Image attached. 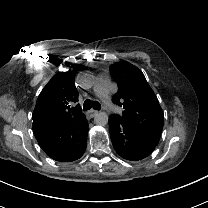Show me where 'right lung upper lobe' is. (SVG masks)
<instances>
[{
    "instance_id": "cb5924a9",
    "label": "right lung upper lobe",
    "mask_w": 208,
    "mask_h": 208,
    "mask_svg": "<svg viewBox=\"0 0 208 208\" xmlns=\"http://www.w3.org/2000/svg\"><path fill=\"white\" fill-rule=\"evenodd\" d=\"M75 73L59 72L43 88L32 114L33 131L62 127L84 116L79 104H75Z\"/></svg>"
}]
</instances>
